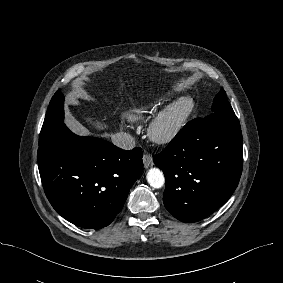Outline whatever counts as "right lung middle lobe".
Masks as SVG:
<instances>
[{"mask_svg":"<svg viewBox=\"0 0 283 283\" xmlns=\"http://www.w3.org/2000/svg\"><path fill=\"white\" fill-rule=\"evenodd\" d=\"M63 101L64 97L61 92H56L52 97L40 132V147L45 146L52 135L63 125Z\"/></svg>","mask_w":283,"mask_h":283,"instance_id":"1","label":"right lung middle lobe"}]
</instances>
